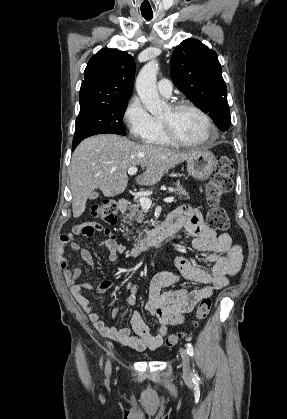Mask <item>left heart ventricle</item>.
<instances>
[{"label": "left heart ventricle", "mask_w": 287, "mask_h": 419, "mask_svg": "<svg viewBox=\"0 0 287 419\" xmlns=\"http://www.w3.org/2000/svg\"><path fill=\"white\" fill-rule=\"evenodd\" d=\"M160 120L168 124L176 136L185 141H200L208 134L203 118L191 109L173 110L169 107Z\"/></svg>", "instance_id": "left-heart-ventricle-1"}]
</instances>
